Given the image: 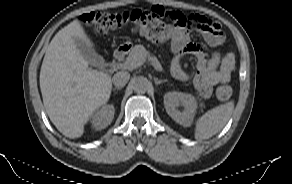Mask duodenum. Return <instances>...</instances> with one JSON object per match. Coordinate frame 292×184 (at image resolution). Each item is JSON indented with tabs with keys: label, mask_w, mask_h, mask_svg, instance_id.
<instances>
[{
	"label": "duodenum",
	"mask_w": 292,
	"mask_h": 184,
	"mask_svg": "<svg viewBox=\"0 0 292 184\" xmlns=\"http://www.w3.org/2000/svg\"><path fill=\"white\" fill-rule=\"evenodd\" d=\"M127 53H128L127 47H120L117 50H115V52L113 53V57L114 59L121 61L126 57Z\"/></svg>",
	"instance_id": "duodenum-1"
}]
</instances>
